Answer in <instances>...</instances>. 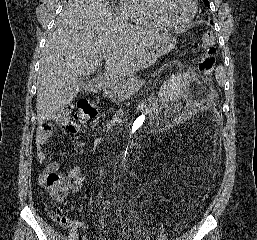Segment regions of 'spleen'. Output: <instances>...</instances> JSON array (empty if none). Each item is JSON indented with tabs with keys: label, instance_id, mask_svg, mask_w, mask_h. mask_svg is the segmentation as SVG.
I'll list each match as a JSON object with an SVG mask.
<instances>
[{
	"label": "spleen",
	"instance_id": "3e777b00",
	"mask_svg": "<svg viewBox=\"0 0 257 240\" xmlns=\"http://www.w3.org/2000/svg\"><path fill=\"white\" fill-rule=\"evenodd\" d=\"M223 67L220 66L216 72V79L218 80V82H222L223 81Z\"/></svg>",
	"mask_w": 257,
	"mask_h": 240
}]
</instances>
